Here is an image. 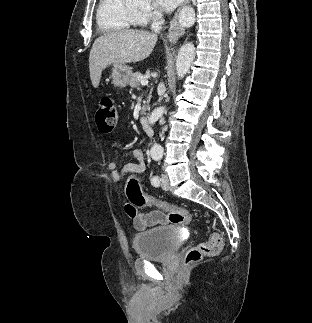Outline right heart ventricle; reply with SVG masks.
Returning a JSON list of instances; mask_svg holds the SVG:
<instances>
[{"mask_svg": "<svg viewBox=\"0 0 312 323\" xmlns=\"http://www.w3.org/2000/svg\"><path fill=\"white\" fill-rule=\"evenodd\" d=\"M93 19L98 29H129L130 25H141L145 13L125 5L124 0H98Z\"/></svg>", "mask_w": 312, "mask_h": 323, "instance_id": "obj_1", "label": "right heart ventricle"}]
</instances>
